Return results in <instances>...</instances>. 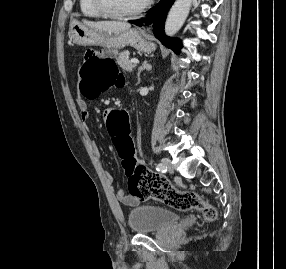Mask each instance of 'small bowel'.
Listing matches in <instances>:
<instances>
[{"mask_svg": "<svg viewBox=\"0 0 286 269\" xmlns=\"http://www.w3.org/2000/svg\"><path fill=\"white\" fill-rule=\"evenodd\" d=\"M121 85H122V83H121ZM78 106H79V111H80V119L85 123L88 121V119L90 117V113L88 110L87 103L84 100L79 99L78 100ZM109 109H111V108H105L104 111H100L99 123H106L107 116H109ZM93 148H94V152H95L96 156L98 158H100L101 153H100V150L95 143H93ZM105 178L109 184H112L114 181L113 175L108 171L105 172ZM116 197L121 203L128 205V206H135L139 203V200H140V198L126 194V192L123 189H118L116 191Z\"/></svg>", "mask_w": 286, "mask_h": 269, "instance_id": "small-bowel-1", "label": "small bowel"}]
</instances>
